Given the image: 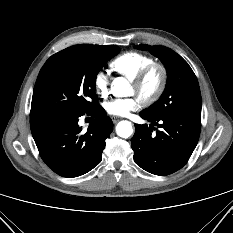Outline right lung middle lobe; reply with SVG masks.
Listing matches in <instances>:
<instances>
[{
    "mask_svg": "<svg viewBox=\"0 0 233 233\" xmlns=\"http://www.w3.org/2000/svg\"><path fill=\"white\" fill-rule=\"evenodd\" d=\"M118 53L116 45L81 44L52 55L37 77L30 118L90 111L98 104L96 76Z\"/></svg>",
    "mask_w": 233,
    "mask_h": 233,
    "instance_id": "obj_1",
    "label": "right lung middle lobe"
}]
</instances>
